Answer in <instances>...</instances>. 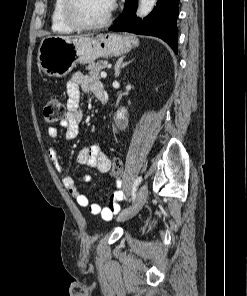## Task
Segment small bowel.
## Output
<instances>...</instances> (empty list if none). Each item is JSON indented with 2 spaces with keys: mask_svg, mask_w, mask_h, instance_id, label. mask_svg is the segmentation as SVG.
Listing matches in <instances>:
<instances>
[{
  "mask_svg": "<svg viewBox=\"0 0 247 296\" xmlns=\"http://www.w3.org/2000/svg\"><path fill=\"white\" fill-rule=\"evenodd\" d=\"M101 88H103L102 84L90 76L80 72L72 75L67 83L68 113L61 121V126L65 129V139L72 140L78 134L79 126L83 119V113L79 108L81 91L96 95L97 91ZM48 135L52 140H57V128L49 127ZM49 157L55 168L62 173L63 185L78 205L89 208L91 214L100 215L107 220L111 219L113 215L120 211V202L126 199V195L121 189L120 182H117V188L111 195L106 206H102L100 203H90L89 199L79 191L73 177L65 172L60 162L58 147L56 145L51 146L49 149ZM76 162L81 165H86L91 169H96L101 173H107L111 168L110 158L95 145L82 148L77 154ZM92 180L93 177L89 174L82 177V181L85 183H90ZM100 200H102V198H100Z\"/></svg>",
  "mask_w": 247,
  "mask_h": 296,
  "instance_id": "obj_1",
  "label": "small bowel"
}]
</instances>
